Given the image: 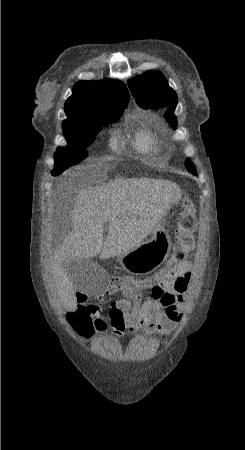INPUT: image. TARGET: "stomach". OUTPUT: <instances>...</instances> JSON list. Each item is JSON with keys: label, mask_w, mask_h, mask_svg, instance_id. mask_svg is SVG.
<instances>
[{"label": "stomach", "mask_w": 245, "mask_h": 450, "mask_svg": "<svg viewBox=\"0 0 245 450\" xmlns=\"http://www.w3.org/2000/svg\"><path fill=\"white\" fill-rule=\"evenodd\" d=\"M166 216L167 212L156 224L149 241L141 243L127 254L118 257L117 261L126 271L136 275L148 274L156 270L168 258L171 240L164 228Z\"/></svg>", "instance_id": "1"}]
</instances>
